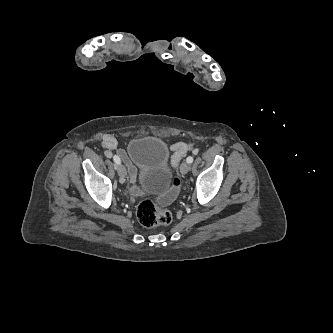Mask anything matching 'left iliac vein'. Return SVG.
Masks as SVG:
<instances>
[{
	"mask_svg": "<svg viewBox=\"0 0 333 333\" xmlns=\"http://www.w3.org/2000/svg\"><path fill=\"white\" fill-rule=\"evenodd\" d=\"M190 170V164L187 162H184L181 164L180 171L182 174H187Z\"/></svg>",
	"mask_w": 333,
	"mask_h": 333,
	"instance_id": "obj_1",
	"label": "left iliac vein"
}]
</instances>
